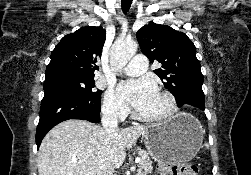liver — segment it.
Here are the masks:
<instances>
[{
  "label": "liver",
  "instance_id": "6515ba94",
  "mask_svg": "<svg viewBox=\"0 0 251 175\" xmlns=\"http://www.w3.org/2000/svg\"><path fill=\"white\" fill-rule=\"evenodd\" d=\"M145 125L107 133L86 119H67L48 131L38 151L39 175H106L120 167L125 147L136 145Z\"/></svg>",
  "mask_w": 251,
  "mask_h": 175
}]
</instances>
